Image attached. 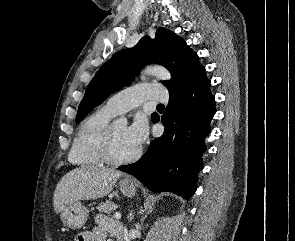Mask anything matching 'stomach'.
<instances>
[{
    "mask_svg": "<svg viewBox=\"0 0 295 241\" xmlns=\"http://www.w3.org/2000/svg\"><path fill=\"white\" fill-rule=\"evenodd\" d=\"M120 191L127 197H132L137 191V183L133 180H121ZM88 209L80 202L67 205L61 211L60 217L63 224L71 229H80L88 218Z\"/></svg>",
    "mask_w": 295,
    "mask_h": 241,
    "instance_id": "0dacf381",
    "label": "stomach"
}]
</instances>
